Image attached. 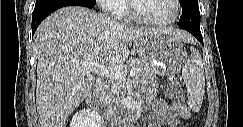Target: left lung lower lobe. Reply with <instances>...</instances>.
I'll use <instances>...</instances> for the list:
<instances>
[{"mask_svg": "<svg viewBox=\"0 0 243 127\" xmlns=\"http://www.w3.org/2000/svg\"><path fill=\"white\" fill-rule=\"evenodd\" d=\"M178 26L190 32L196 39L203 44V38L200 31V12L199 7L189 6L183 8Z\"/></svg>", "mask_w": 243, "mask_h": 127, "instance_id": "obj_1", "label": "left lung lower lobe"}]
</instances>
